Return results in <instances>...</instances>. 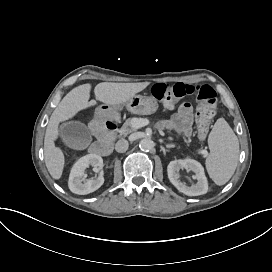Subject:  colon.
I'll use <instances>...</instances> for the list:
<instances>
[{"instance_id": "obj_1", "label": "colon", "mask_w": 272, "mask_h": 272, "mask_svg": "<svg viewBox=\"0 0 272 272\" xmlns=\"http://www.w3.org/2000/svg\"><path fill=\"white\" fill-rule=\"evenodd\" d=\"M152 94L158 101L173 102L183 97H192L199 105L197 112V129L201 137H205L209 131L212 119L216 115L215 104L217 95L215 90L207 84L175 83L157 84L152 88Z\"/></svg>"}]
</instances>
